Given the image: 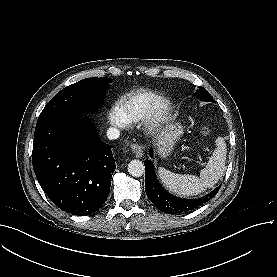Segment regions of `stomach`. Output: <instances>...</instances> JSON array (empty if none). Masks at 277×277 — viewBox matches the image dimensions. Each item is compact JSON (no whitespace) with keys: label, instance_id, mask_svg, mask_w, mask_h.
I'll return each instance as SVG.
<instances>
[{"label":"stomach","instance_id":"obj_1","mask_svg":"<svg viewBox=\"0 0 277 277\" xmlns=\"http://www.w3.org/2000/svg\"><path fill=\"white\" fill-rule=\"evenodd\" d=\"M183 134V128L179 123L166 125L156 138V151L161 158H167L175 143Z\"/></svg>","mask_w":277,"mask_h":277}]
</instances>
